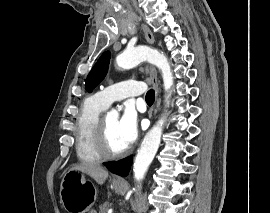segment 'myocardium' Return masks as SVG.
I'll list each match as a JSON object with an SVG mask.
<instances>
[{
	"mask_svg": "<svg viewBox=\"0 0 270 213\" xmlns=\"http://www.w3.org/2000/svg\"><path fill=\"white\" fill-rule=\"evenodd\" d=\"M94 145L98 153L105 160H114L123 157L127 153L125 148L122 151L114 152L110 150L107 144L106 129L104 124V118H98L94 129Z\"/></svg>",
	"mask_w": 270,
	"mask_h": 213,
	"instance_id": "f54148a6",
	"label": "myocardium"
}]
</instances>
